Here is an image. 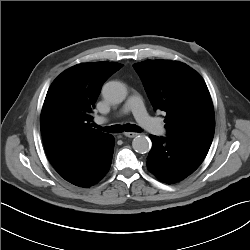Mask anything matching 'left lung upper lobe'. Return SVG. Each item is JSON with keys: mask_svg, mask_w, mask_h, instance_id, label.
<instances>
[{"mask_svg": "<svg viewBox=\"0 0 250 250\" xmlns=\"http://www.w3.org/2000/svg\"><path fill=\"white\" fill-rule=\"evenodd\" d=\"M133 67L154 110L166 113L169 137L212 142L213 104L204 80L195 70L171 60H146Z\"/></svg>", "mask_w": 250, "mask_h": 250, "instance_id": "obj_1", "label": "left lung upper lobe"}]
</instances>
